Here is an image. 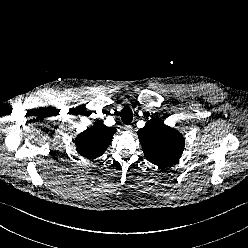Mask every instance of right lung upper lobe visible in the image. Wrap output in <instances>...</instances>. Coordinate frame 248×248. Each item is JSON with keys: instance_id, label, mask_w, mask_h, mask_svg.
I'll list each match as a JSON object with an SVG mask.
<instances>
[{"instance_id": "obj_1", "label": "right lung upper lobe", "mask_w": 248, "mask_h": 248, "mask_svg": "<svg viewBox=\"0 0 248 248\" xmlns=\"http://www.w3.org/2000/svg\"><path fill=\"white\" fill-rule=\"evenodd\" d=\"M115 132L114 127H107L100 121L96 122L76 137L77 152L87 159L101 156L110 145Z\"/></svg>"}]
</instances>
